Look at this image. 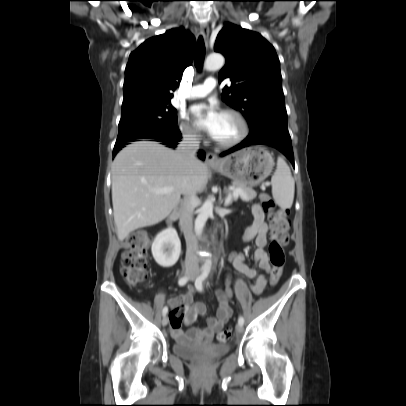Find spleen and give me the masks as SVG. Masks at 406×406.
<instances>
[{
    "instance_id": "spleen-1",
    "label": "spleen",
    "mask_w": 406,
    "mask_h": 406,
    "mask_svg": "<svg viewBox=\"0 0 406 406\" xmlns=\"http://www.w3.org/2000/svg\"><path fill=\"white\" fill-rule=\"evenodd\" d=\"M272 195L282 209L291 208L294 200L295 182L291 171L282 157L277 159V168L271 178Z\"/></svg>"
}]
</instances>
